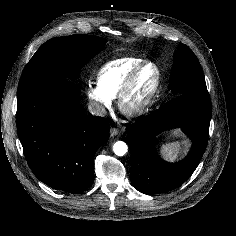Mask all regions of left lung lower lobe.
I'll return each instance as SVG.
<instances>
[{
	"label": "left lung lower lobe",
	"instance_id": "obj_1",
	"mask_svg": "<svg viewBox=\"0 0 236 236\" xmlns=\"http://www.w3.org/2000/svg\"><path fill=\"white\" fill-rule=\"evenodd\" d=\"M211 119L208 91L175 96L161 108L127 127L132 152L133 186L144 194L168 192L184 183L197 168L207 146ZM181 127L192 140L188 156L177 163L162 160L155 150L156 135Z\"/></svg>",
	"mask_w": 236,
	"mask_h": 236
}]
</instances>
